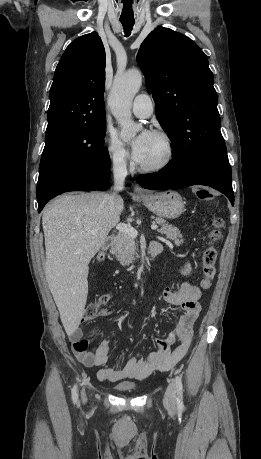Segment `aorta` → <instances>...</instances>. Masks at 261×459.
<instances>
[{
  "mask_svg": "<svg viewBox=\"0 0 261 459\" xmlns=\"http://www.w3.org/2000/svg\"><path fill=\"white\" fill-rule=\"evenodd\" d=\"M142 85V75L138 70H129L116 75L108 104L112 114L121 126V137L129 140L141 130L142 126L136 124L131 117L132 101Z\"/></svg>",
  "mask_w": 261,
  "mask_h": 459,
  "instance_id": "obj_1",
  "label": "aorta"
}]
</instances>
